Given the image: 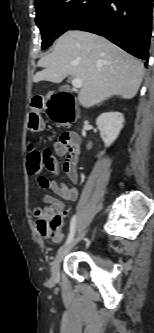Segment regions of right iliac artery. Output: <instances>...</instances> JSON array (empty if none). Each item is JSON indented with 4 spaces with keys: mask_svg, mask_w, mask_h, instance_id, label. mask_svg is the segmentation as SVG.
Returning <instances> with one entry per match:
<instances>
[{
    "mask_svg": "<svg viewBox=\"0 0 154 333\" xmlns=\"http://www.w3.org/2000/svg\"><path fill=\"white\" fill-rule=\"evenodd\" d=\"M75 227H76V216H73L71 219V224H70V233L67 238L66 244L72 241L75 235Z\"/></svg>",
    "mask_w": 154,
    "mask_h": 333,
    "instance_id": "82829eb1",
    "label": "right iliac artery"
}]
</instances>
